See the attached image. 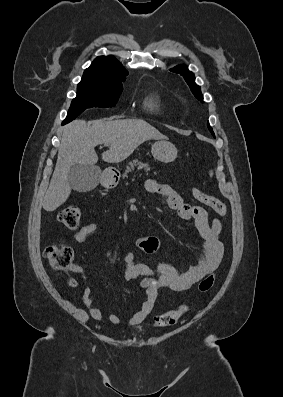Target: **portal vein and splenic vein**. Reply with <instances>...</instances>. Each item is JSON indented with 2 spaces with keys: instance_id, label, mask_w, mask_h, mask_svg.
I'll return each mask as SVG.
<instances>
[{
  "instance_id": "obj_1",
  "label": "portal vein and splenic vein",
  "mask_w": 283,
  "mask_h": 397,
  "mask_svg": "<svg viewBox=\"0 0 283 397\" xmlns=\"http://www.w3.org/2000/svg\"><path fill=\"white\" fill-rule=\"evenodd\" d=\"M104 145H105V146H109V144H106V143H105Z\"/></svg>"
}]
</instances>
